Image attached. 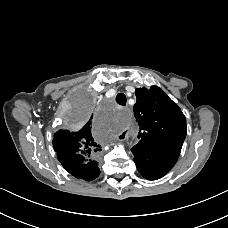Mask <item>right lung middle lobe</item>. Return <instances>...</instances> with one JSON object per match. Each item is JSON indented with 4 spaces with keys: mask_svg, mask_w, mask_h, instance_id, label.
Returning <instances> with one entry per match:
<instances>
[{
    "mask_svg": "<svg viewBox=\"0 0 228 228\" xmlns=\"http://www.w3.org/2000/svg\"><path fill=\"white\" fill-rule=\"evenodd\" d=\"M94 109L93 99L87 93H82L77 98V105L72 114L75 123L84 121Z\"/></svg>",
    "mask_w": 228,
    "mask_h": 228,
    "instance_id": "right-lung-middle-lobe-1",
    "label": "right lung middle lobe"
}]
</instances>
